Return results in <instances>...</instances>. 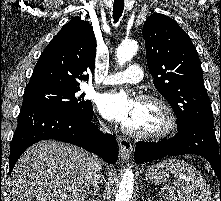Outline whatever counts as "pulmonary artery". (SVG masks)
<instances>
[{
    "label": "pulmonary artery",
    "instance_id": "e3ab8cb5",
    "mask_svg": "<svg viewBox=\"0 0 221 201\" xmlns=\"http://www.w3.org/2000/svg\"><path fill=\"white\" fill-rule=\"evenodd\" d=\"M143 79V71L138 65H131L122 72L110 74L103 80L104 85H117L125 83H138Z\"/></svg>",
    "mask_w": 221,
    "mask_h": 201
}]
</instances>
